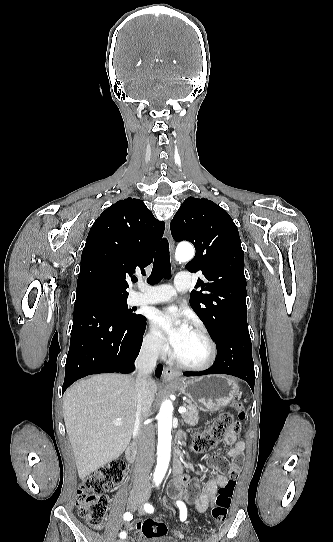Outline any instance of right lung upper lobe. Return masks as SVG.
<instances>
[{"mask_svg": "<svg viewBox=\"0 0 333 542\" xmlns=\"http://www.w3.org/2000/svg\"><path fill=\"white\" fill-rule=\"evenodd\" d=\"M165 224L157 220L139 199L120 200L103 211L92 225L81 256L76 301L91 293L128 297L126 278L153 261ZM95 250L107 259L94 261Z\"/></svg>", "mask_w": 333, "mask_h": 542, "instance_id": "1", "label": "right lung upper lobe"}]
</instances>
